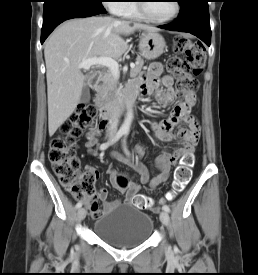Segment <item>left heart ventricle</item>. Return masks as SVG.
I'll return each instance as SVG.
<instances>
[{
	"mask_svg": "<svg viewBox=\"0 0 258 275\" xmlns=\"http://www.w3.org/2000/svg\"><path fill=\"white\" fill-rule=\"evenodd\" d=\"M146 8L148 13L156 19H164L173 15L175 3L171 0L148 1Z\"/></svg>",
	"mask_w": 258,
	"mask_h": 275,
	"instance_id": "b2bd125f",
	"label": "left heart ventricle"
}]
</instances>
